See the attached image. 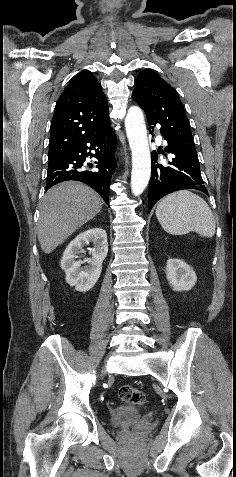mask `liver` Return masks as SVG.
I'll use <instances>...</instances> for the list:
<instances>
[{"label":"liver","instance_id":"6515ba94","mask_svg":"<svg viewBox=\"0 0 236 477\" xmlns=\"http://www.w3.org/2000/svg\"><path fill=\"white\" fill-rule=\"evenodd\" d=\"M101 197L79 182H63L47 191L40 204L38 240L49 254L102 208Z\"/></svg>","mask_w":236,"mask_h":477}]
</instances>
